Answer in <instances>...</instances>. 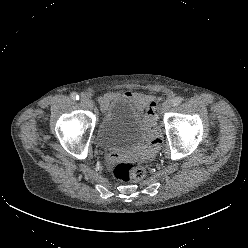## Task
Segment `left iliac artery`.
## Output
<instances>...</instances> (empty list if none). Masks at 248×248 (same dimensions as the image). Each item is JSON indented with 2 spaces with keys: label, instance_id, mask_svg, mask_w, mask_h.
<instances>
[{
  "label": "left iliac artery",
  "instance_id": "obj_1",
  "mask_svg": "<svg viewBox=\"0 0 248 248\" xmlns=\"http://www.w3.org/2000/svg\"><path fill=\"white\" fill-rule=\"evenodd\" d=\"M181 102H182V98H181V97H175V98L172 100L173 106H178Z\"/></svg>",
  "mask_w": 248,
  "mask_h": 248
}]
</instances>
